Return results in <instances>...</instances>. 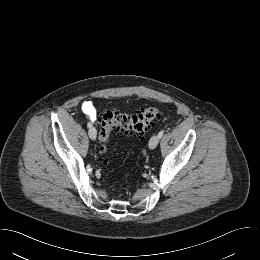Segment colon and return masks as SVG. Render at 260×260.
Here are the masks:
<instances>
[{
    "label": "colon",
    "mask_w": 260,
    "mask_h": 260,
    "mask_svg": "<svg viewBox=\"0 0 260 260\" xmlns=\"http://www.w3.org/2000/svg\"><path fill=\"white\" fill-rule=\"evenodd\" d=\"M160 114L155 106L147 107L137 114L128 115L117 110H107L101 113L99 140V154L103 157L107 152V142L110 135L115 131H122L126 135H143L152 121Z\"/></svg>",
    "instance_id": "1"
}]
</instances>
